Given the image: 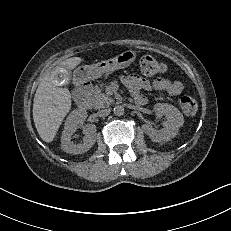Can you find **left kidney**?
<instances>
[{
  "mask_svg": "<svg viewBox=\"0 0 231 231\" xmlns=\"http://www.w3.org/2000/svg\"><path fill=\"white\" fill-rule=\"evenodd\" d=\"M154 112L158 117L166 116L163 122V129L156 130L151 124H144V132L154 142H167L173 139L179 132V128L184 124L182 113L173 105L167 103H157L154 105Z\"/></svg>",
  "mask_w": 231,
  "mask_h": 231,
  "instance_id": "left-kidney-1",
  "label": "left kidney"
}]
</instances>
